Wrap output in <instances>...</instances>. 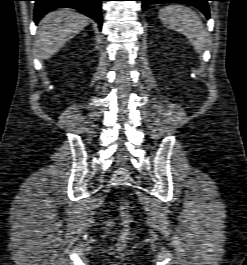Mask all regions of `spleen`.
Wrapping results in <instances>:
<instances>
[{
	"mask_svg": "<svg viewBox=\"0 0 247 265\" xmlns=\"http://www.w3.org/2000/svg\"><path fill=\"white\" fill-rule=\"evenodd\" d=\"M159 18L165 27L185 35L197 53L203 52L207 32L195 11L182 5H169L159 11Z\"/></svg>",
	"mask_w": 247,
	"mask_h": 265,
	"instance_id": "1",
	"label": "spleen"
}]
</instances>
